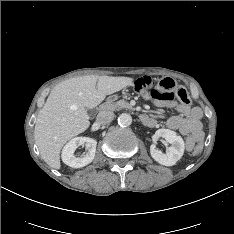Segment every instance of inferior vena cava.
Wrapping results in <instances>:
<instances>
[{"label":"inferior vena cava","mask_w":234,"mask_h":234,"mask_svg":"<svg viewBox=\"0 0 234 234\" xmlns=\"http://www.w3.org/2000/svg\"><path fill=\"white\" fill-rule=\"evenodd\" d=\"M114 116H115L114 113L111 111H101L97 115L96 120L99 124H108L113 121Z\"/></svg>","instance_id":"602c4592"}]
</instances>
